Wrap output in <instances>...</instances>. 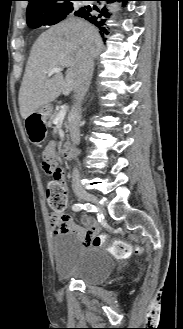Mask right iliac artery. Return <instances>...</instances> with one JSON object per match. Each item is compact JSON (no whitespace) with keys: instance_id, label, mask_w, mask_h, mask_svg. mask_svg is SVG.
<instances>
[{"instance_id":"right-iliac-artery-1","label":"right iliac artery","mask_w":183,"mask_h":329,"mask_svg":"<svg viewBox=\"0 0 183 329\" xmlns=\"http://www.w3.org/2000/svg\"><path fill=\"white\" fill-rule=\"evenodd\" d=\"M82 209L87 210L89 212H96V207L90 203H86V204L78 203L72 206L73 211H80Z\"/></svg>"}]
</instances>
